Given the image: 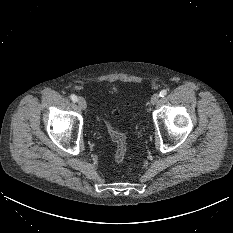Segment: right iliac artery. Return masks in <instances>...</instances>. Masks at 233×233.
I'll return each mask as SVG.
<instances>
[{"mask_svg": "<svg viewBox=\"0 0 233 233\" xmlns=\"http://www.w3.org/2000/svg\"><path fill=\"white\" fill-rule=\"evenodd\" d=\"M70 98L73 102H77V96L75 94H72Z\"/></svg>", "mask_w": 233, "mask_h": 233, "instance_id": "1", "label": "right iliac artery"}]
</instances>
